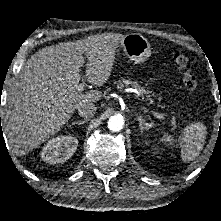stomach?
<instances>
[{"label": "stomach", "mask_w": 221, "mask_h": 221, "mask_svg": "<svg viewBox=\"0 0 221 221\" xmlns=\"http://www.w3.org/2000/svg\"><path fill=\"white\" fill-rule=\"evenodd\" d=\"M120 50L136 63L144 62L151 55V46L148 40L141 34L136 33L124 36L116 52L119 53Z\"/></svg>", "instance_id": "1"}]
</instances>
